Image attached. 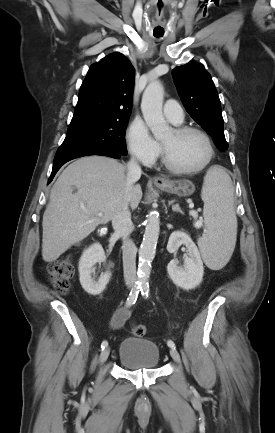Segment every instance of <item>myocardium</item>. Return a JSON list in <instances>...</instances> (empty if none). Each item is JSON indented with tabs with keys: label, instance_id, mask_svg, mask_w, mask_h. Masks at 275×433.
<instances>
[{
	"label": "myocardium",
	"instance_id": "1",
	"mask_svg": "<svg viewBox=\"0 0 275 433\" xmlns=\"http://www.w3.org/2000/svg\"><path fill=\"white\" fill-rule=\"evenodd\" d=\"M172 130H173L174 134H176L178 136L185 135L188 133H197L200 136H202L204 138V140L206 141L207 146H208V156H207L206 160L201 165H199L197 167L181 168V167L176 166L171 161L165 146L163 145V143H161L162 161H163V164L165 165V167L173 173L184 174V175L196 174V173H199L202 170H204L212 162L214 155H215L214 144H213V141H212L211 137L209 136V134L199 127L186 126V125H177V126L173 127Z\"/></svg>",
	"mask_w": 275,
	"mask_h": 433
}]
</instances>
